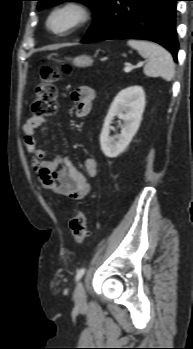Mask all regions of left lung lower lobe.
<instances>
[{
	"label": "left lung lower lobe",
	"instance_id": "left-lung-lower-lobe-1",
	"mask_svg": "<svg viewBox=\"0 0 193 349\" xmlns=\"http://www.w3.org/2000/svg\"><path fill=\"white\" fill-rule=\"evenodd\" d=\"M178 0H107L82 43L145 39L167 48L177 60L175 29Z\"/></svg>",
	"mask_w": 193,
	"mask_h": 349
}]
</instances>
